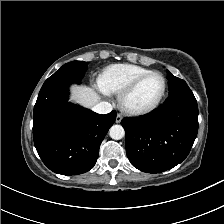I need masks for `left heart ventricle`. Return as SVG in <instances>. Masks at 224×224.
<instances>
[{
    "label": "left heart ventricle",
    "instance_id": "b2bd125f",
    "mask_svg": "<svg viewBox=\"0 0 224 224\" xmlns=\"http://www.w3.org/2000/svg\"><path fill=\"white\" fill-rule=\"evenodd\" d=\"M163 89V80L159 75L145 79L128 99L132 107H146L151 105Z\"/></svg>",
    "mask_w": 224,
    "mask_h": 224
}]
</instances>
